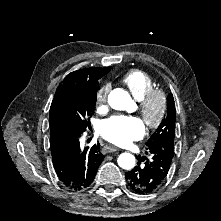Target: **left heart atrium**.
Here are the masks:
<instances>
[{
  "label": "left heart atrium",
  "mask_w": 221,
  "mask_h": 221,
  "mask_svg": "<svg viewBox=\"0 0 221 221\" xmlns=\"http://www.w3.org/2000/svg\"><path fill=\"white\" fill-rule=\"evenodd\" d=\"M99 131L107 141L124 146L140 139L145 133V127L138 117L115 115L103 121Z\"/></svg>",
  "instance_id": "1"
}]
</instances>
